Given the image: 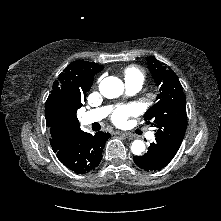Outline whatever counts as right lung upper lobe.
Listing matches in <instances>:
<instances>
[{"instance_id": "1", "label": "right lung upper lobe", "mask_w": 221, "mask_h": 221, "mask_svg": "<svg viewBox=\"0 0 221 221\" xmlns=\"http://www.w3.org/2000/svg\"><path fill=\"white\" fill-rule=\"evenodd\" d=\"M103 68L94 62L74 61L54 82L45 104V118L55 153L72 147L83 132L76 113L91 88L94 75Z\"/></svg>"}]
</instances>
